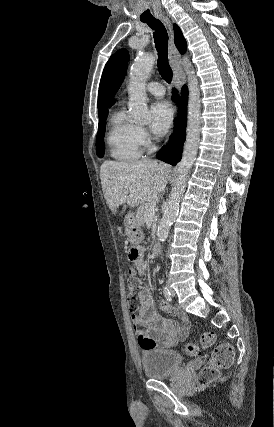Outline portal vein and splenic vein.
<instances>
[{
    "label": "portal vein and splenic vein",
    "mask_w": 274,
    "mask_h": 427,
    "mask_svg": "<svg viewBox=\"0 0 274 427\" xmlns=\"http://www.w3.org/2000/svg\"><path fill=\"white\" fill-rule=\"evenodd\" d=\"M155 215V204H153V206H150V208H148V210H146L145 212V219H153Z\"/></svg>",
    "instance_id": "portal-vein-and-splenic-vein-1"
}]
</instances>
